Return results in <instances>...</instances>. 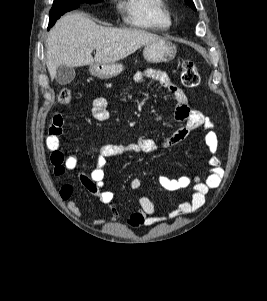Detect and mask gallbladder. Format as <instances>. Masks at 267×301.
<instances>
[{"label": "gallbladder", "mask_w": 267, "mask_h": 301, "mask_svg": "<svg viewBox=\"0 0 267 301\" xmlns=\"http://www.w3.org/2000/svg\"><path fill=\"white\" fill-rule=\"evenodd\" d=\"M75 78V70L72 67L60 65L56 70L55 79L60 85H67Z\"/></svg>", "instance_id": "obj_1"}]
</instances>
